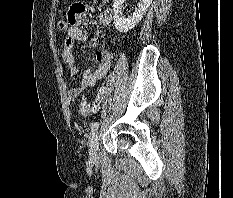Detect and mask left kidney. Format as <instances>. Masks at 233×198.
Instances as JSON below:
<instances>
[{
  "label": "left kidney",
  "mask_w": 233,
  "mask_h": 198,
  "mask_svg": "<svg viewBox=\"0 0 233 198\" xmlns=\"http://www.w3.org/2000/svg\"><path fill=\"white\" fill-rule=\"evenodd\" d=\"M125 0H113L114 25L122 33L128 32L141 21L149 8L152 0H139L138 6L131 16L125 18L122 16V7Z\"/></svg>",
  "instance_id": "1"
}]
</instances>
